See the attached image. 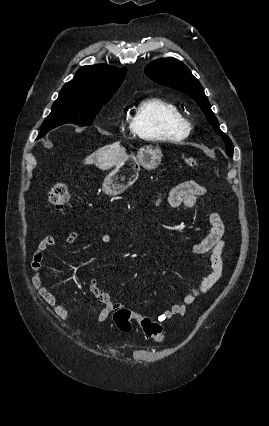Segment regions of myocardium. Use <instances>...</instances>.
Segmentation results:
<instances>
[{
	"instance_id": "f54148a6",
	"label": "myocardium",
	"mask_w": 269,
	"mask_h": 426,
	"mask_svg": "<svg viewBox=\"0 0 269 426\" xmlns=\"http://www.w3.org/2000/svg\"><path fill=\"white\" fill-rule=\"evenodd\" d=\"M185 123H186L187 127L189 128L190 127V123L187 120H185Z\"/></svg>"
}]
</instances>
